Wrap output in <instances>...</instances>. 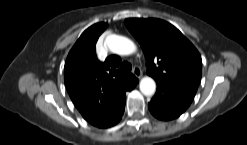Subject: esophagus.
<instances>
[{
    "label": "esophagus",
    "mask_w": 247,
    "mask_h": 145,
    "mask_svg": "<svg viewBox=\"0 0 247 145\" xmlns=\"http://www.w3.org/2000/svg\"><path fill=\"white\" fill-rule=\"evenodd\" d=\"M133 74L137 77V78H141V76H142V71H141V69L139 68V67H134L133 68Z\"/></svg>",
    "instance_id": "esophagus-1"
}]
</instances>
